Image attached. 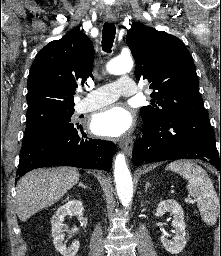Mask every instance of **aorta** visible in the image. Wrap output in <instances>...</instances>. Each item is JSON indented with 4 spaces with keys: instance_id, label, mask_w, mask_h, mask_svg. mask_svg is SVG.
Segmentation results:
<instances>
[{
    "instance_id": "aorta-1",
    "label": "aorta",
    "mask_w": 221,
    "mask_h": 256,
    "mask_svg": "<svg viewBox=\"0 0 221 256\" xmlns=\"http://www.w3.org/2000/svg\"><path fill=\"white\" fill-rule=\"evenodd\" d=\"M131 57H117L109 61L106 69L110 74L120 75L131 71ZM114 178L118 197L124 207H129L133 197V182L124 154L119 153L114 163Z\"/></svg>"
}]
</instances>
